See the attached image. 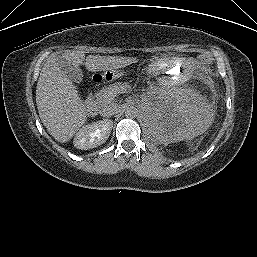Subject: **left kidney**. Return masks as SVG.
<instances>
[{"instance_id": "left-kidney-1", "label": "left kidney", "mask_w": 257, "mask_h": 257, "mask_svg": "<svg viewBox=\"0 0 257 257\" xmlns=\"http://www.w3.org/2000/svg\"><path fill=\"white\" fill-rule=\"evenodd\" d=\"M143 119L148 133L163 144L194 138L209 127L205 101L186 89L162 91L147 99Z\"/></svg>"}]
</instances>
